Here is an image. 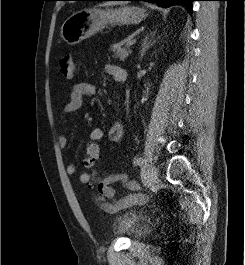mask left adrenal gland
Instances as JSON below:
<instances>
[{"label": "left adrenal gland", "mask_w": 245, "mask_h": 265, "mask_svg": "<svg viewBox=\"0 0 245 265\" xmlns=\"http://www.w3.org/2000/svg\"><path fill=\"white\" fill-rule=\"evenodd\" d=\"M156 30L154 32H151L150 34H147L145 38L143 39L142 45H141V51H140V60L143 58L145 52L153 46V44L156 42L154 40ZM151 37V38H150Z\"/></svg>", "instance_id": "left-adrenal-gland-1"}]
</instances>
